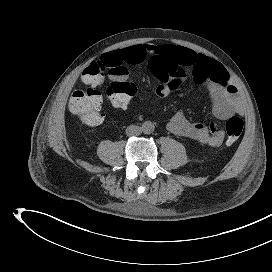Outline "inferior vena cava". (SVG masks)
<instances>
[{
  "label": "inferior vena cava",
  "mask_w": 272,
  "mask_h": 272,
  "mask_svg": "<svg viewBox=\"0 0 272 272\" xmlns=\"http://www.w3.org/2000/svg\"><path fill=\"white\" fill-rule=\"evenodd\" d=\"M142 133V128L136 125H130L127 127L126 129V134L128 136H137L140 135Z\"/></svg>",
  "instance_id": "inferior-vena-cava-1"
}]
</instances>
